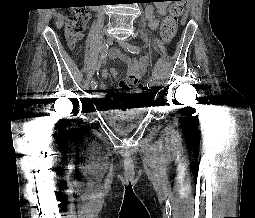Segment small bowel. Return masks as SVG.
I'll return each instance as SVG.
<instances>
[{
	"label": "small bowel",
	"instance_id": "1",
	"mask_svg": "<svg viewBox=\"0 0 255 218\" xmlns=\"http://www.w3.org/2000/svg\"><path fill=\"white\" fill-rule=\"evenodd\" d=\"M157 10L160 16H164L167 13L168 4L166 0H157L155 3L149 5L145 9V16L149 22V27L151 30H156L159 26V18L154 16V10ZM111 57L118 59L125 63L128 68L127 80H121L118 82L120 89L125 86H135L139 83L140 79L143 77L145 69L149 63L148 57H142L139 60L132 59L127 55L121 53L118 49H113L111 51ZM109 74L117 80V71L115 69H110ZM107 75V70H104V76ZM101 90H106V85L104 82L100 84ZM123 93L119 90H109L101 95L103 98L102 104H100L101 109L104 111H112L111 105H124L126 102L122 100Z\"/></svg>",
	"mask_w": 255,
	"mask_h": 218
}]
</instances>
